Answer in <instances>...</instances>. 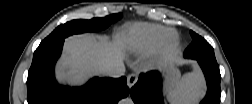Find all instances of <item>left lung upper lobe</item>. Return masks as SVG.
<instances>
[{
    "label": "left lung upper lobe",
    "mask_w": 252,
    "mask_h": 104,
    "mask_svg": "<svg viewBox=\"0 0 252 104\" xmlns=\"http://www.w3.org/2000/svg\"><path fill=\"white\" fill-rule=\"evenodd\" d=\"M190 34L193 40L184 52L185 57L189 59H215L212 46L195 32L190 31Z\"/></svg>",
    "instance_id": "left-lung-upper-lobe-1"
}]
</instances>
